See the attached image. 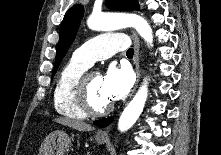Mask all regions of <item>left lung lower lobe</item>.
I'll return each instance as SVG.
<instances>
[{
  "label": "left lung lower lobe",
  "mask_w": 221,
  "mask_h": 155,
  "mask_svg": "<svg viewBox=\"0 0 221 155\" xmlns=\"http://www.w3.org/2000/svg\"><path fill=\"white\" fill-rule=\"evenodd\" d=\"M113 118L100 119L93 122L98 127H105L112 122Z\"/></svg>",
  "instance_id": "obj_1"
}]
</instances>
